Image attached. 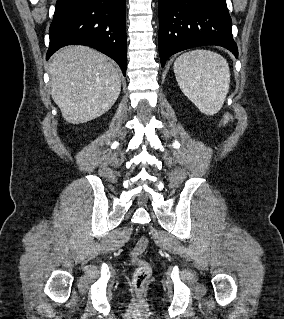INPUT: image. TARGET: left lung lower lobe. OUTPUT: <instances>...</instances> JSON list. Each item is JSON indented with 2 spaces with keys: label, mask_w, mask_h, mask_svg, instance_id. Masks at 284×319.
I'll return each instance as SVG.
<instances>
[{
  "label": "left lung lower lobe",
  "mask_w": 284,
  "mask_h": 319,
  "mask_svg": "<svg viewBox=\"0 0 284 319\" xmlns=\"http://www.w3.org/2000/svg\"><path fill=\"white\" fill-rule=\"evenodd\" d=\"M226 0H159L161 65L173 54L203 45L222 46L238 57Z\"/></svg>",
  "instance_id": "1"
}]
</instances>
